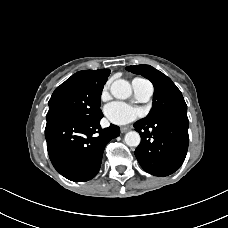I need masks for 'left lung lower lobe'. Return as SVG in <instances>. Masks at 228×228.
<instances>
[{
	"instance_id": "1",
	"label": "left lung lower lobe",
	"mask_w": 228,
	"mask_h": 228,
	"mask_svg": "<svg viewBox=\"0 0 228 228\" xmlns=\"http://www.w3.org/2000/svg\"><path fill=\"white\" fill-rule=\"evenodd\" d=\"M134 127L141 136L135 156L146 172L167 176L180 168L189 143L187 108L172 111L150 123L139 120Z\"/></svg>"
}]
</instances>
